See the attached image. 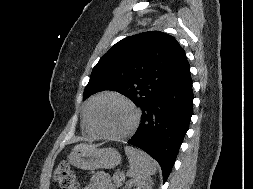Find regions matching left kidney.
Returning <instances> with one entry per match:
<instances>
[{
	"instance_id": "5707ae66",
	"label": "left kidney",
	"mask_w": 253,
	"mask_h": 189,
	"mask_svg": "<svg viewBox=\"0 0 253 189\" xmlns=\"http://www.w3.org/2000/svg\"><path fill=\"white\" fill-rule=\"evenodd\" d=\"M152 189V180L150 178L145 179H133L129 180L125 189Z\"/></svg>"
}]
</instances>
